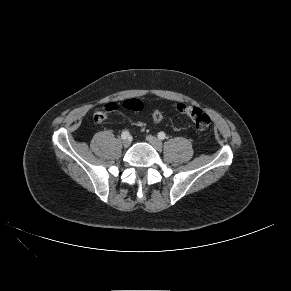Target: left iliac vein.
Here are the masks:
<instances>
[{"mask_svg":"<svg viewBox=\"0 0 291 291\" xmlns=\"http://www.w3.org/2000/svg\"><path fill=\"white\" fill-rule=\"evenodd\" d=\"M146 140L156 149V150H161L162 148V142L157 139L156 137L152 135H148L146 137Z\"/></svg>","mask_w":291,"mask_h":291,"instance_id":"obj_1","label":"left iliac vein"}]
</instances>
